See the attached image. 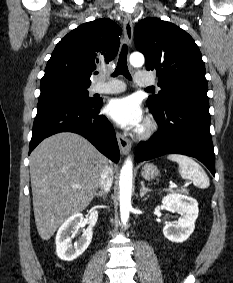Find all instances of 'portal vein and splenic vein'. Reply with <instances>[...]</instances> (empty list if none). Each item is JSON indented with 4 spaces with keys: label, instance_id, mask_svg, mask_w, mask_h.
<instances>
[{
    "label": "portal vein and splenic vein",
    "instance_id": "18ae733b",
    "mask_svg": "<svg viewBox=\"0 0 233 283\" xmlns=\"http://www.w3.org/2000/svg\"><path fill=\"white\" fill-rule=\"evenodd\" d=\"M76 187L81 188L80 185H77ZM176 187H177V185L175 183H170V188H176Z\"/></svg>",
    "mask_w": 233,
    "mask_h": 283
}]
</instances>
